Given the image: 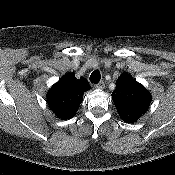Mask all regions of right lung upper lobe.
I'll use <instances>...</instances> for the list:
<instances>
[{"instance_id":"obj_1","label":"right lung upper lobe","mask_w":175,"mask_h":175,"mask_svg":"<svg viewBox=\"0 0 175 175\" xmlns=\"http://www.w3.org/2000/svg\"><path fill=\"white\" fill-rule=\"evenodd\" d=\"M90 89L85 78L77 79L73 73L64 75L47 93V103L51 110L61 119L75 116L82 95Z\"/></svg>"}]
</instances>
